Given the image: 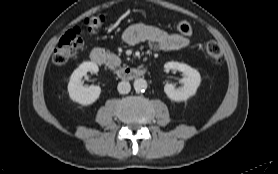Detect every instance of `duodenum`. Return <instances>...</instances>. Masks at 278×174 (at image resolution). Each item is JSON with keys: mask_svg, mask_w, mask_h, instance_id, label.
I'll list each match as a JSON object with an SVG mask.
<instances>
[{"mask_svg": "<svg viewBox=\"0 0 278 174\" xmlns=\"http://www.w3.org/2000/svg\"><path fill=\"white\" fill-rule=\"evenodd\" d=\"M90 59L96 64H103L106 60V55L103 50L94 48L90 51ZM145 74L144 68L121 67L117 71V75L121 79L130 80L142 77Z\"/></svg>", "mask_w": 278, "mask_h": 174, "instance_id": "duodenum-1", "label": "duodenum"}]
</instances>
